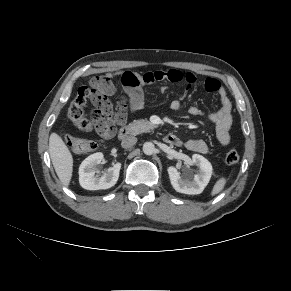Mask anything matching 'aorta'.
<instances>
[{"label": "aorta", "mask_w": 291, "mask_h": 291, "mask_svg": "<svg viewBox=\"0 0 291 291\" xmlns=\"http://www.w3.org/2000/svg\"><path fill=\"white\" fill-rule=\"evenodd\" d=\"M155 151V145L152 142H146L143 145V152L146 155H152Z\"/></svg>", "instance_id": "obj_1"}]
</instances>
